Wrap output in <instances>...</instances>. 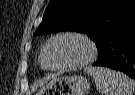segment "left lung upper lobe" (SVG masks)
Here are the masks:
<instances>
[{"label":"left lung upper lobe","instance_id":"left-lung-upper-lobe-1","mask_svg":"<svg viewBox=\"0 0 135 95\" xmlns=\"http://www.w3.org/2000/svg\"><path fill=\"white\" fill-rule=\"evenodd\" d=\"M134 18L135 0H51L35 35L76 31L87 34L99 49Z\"/></svg>","mask_w":135,"mask_h":95}]
</instances>
